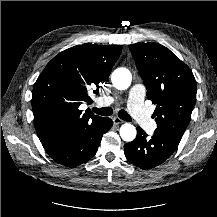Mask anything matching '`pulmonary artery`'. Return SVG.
I'll list each match as a JSON object with an SVG mask.
<instances>
[{
    "mask_svg": "<svg viewBox=\"0 0 217 217\" xmlns=\"http://www.w3.org/2000/svg\"><path fill=\"white\" fill-rule=\"evenodd\" d=\"M145 89L142 85H134L128 94V109L131 116L146 130H152L155 126L154 120L149 115L144 105ZM116 97L105 96L100 99L104 106L114 102Z\"/></svg>",
    "mask_w": 217,
    "mask_h": 217,
    "instance_id": "pulmonary-artery-1",
    "label": "pulmonary artery"
}]
</instances>
